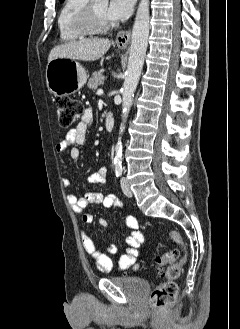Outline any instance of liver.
Listing matches in <instances>:
<instances>
[{"label": "liver", "instance_id": "obj_1", "mask_svg": "<svg viewBox=\"0 0 240 329\" xmlns=\"http://www.w3.org/2000/svg\"><path fill=\"white\" fill-rule=\"evenodd\" d=\"M111 41L101 38H87L55 46L49 54L48 63L55 58H71L81 61H95L110 48Z\"/></svg>", "mask_w": 240, "mask_h": 329}]
</instances>
